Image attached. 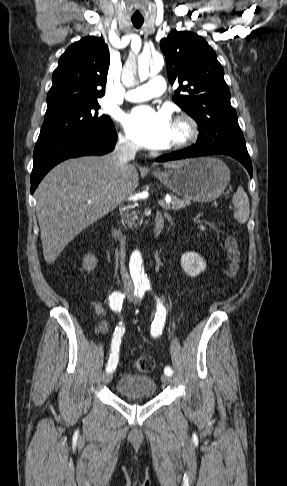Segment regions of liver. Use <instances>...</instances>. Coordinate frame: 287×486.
<instances>
[{"label":"liver","instance_id":"1","mask_svg":"<svg viewBox=\"0 0 287 486\" xmlns=\"http://www.w3.org/2000/svg\"><path fill=\"white\" fill-rule=\"evenodd\" d=\"M181 161L164 163L173 168ZM139 185L137 169H117L111 155L69 159L53 168L36 192L43 255L53 263L82 230L107 215Z\"/></svg>","mask_w":287,"mask_h":486}]
</instances>
